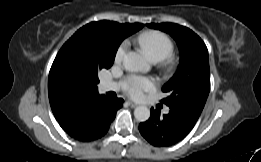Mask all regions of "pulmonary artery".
Listing matches in <instances>:
<instances>
[{
    "instance_id": "obj_1",
    "label": "pulmonary artery",
    "mask_w": 261,
    "mask_h": 162,
    "mask_svg": "<svg viewBox=\"0 0 261 162\" xmlns=\"http://www.w3.org/2000/svg\"><path fill=\"white\" fill-rule=\"evenodd\" d=\"M119 89V86L111 81H105L102 83V90L103 91H116ZM169 112V108L164 109V113L167 114Z\"/></svg>"
}]
</instances>
